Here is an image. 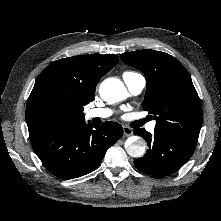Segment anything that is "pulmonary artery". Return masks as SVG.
<instances>
[{"mask_svg":"<svg viewBox=\"0 0 221 221\" xmlns=\"http://www.w3.org/2000/svg\"><path fill=\"white\" fill-rule=\"evenodd\" d=\"M123 80L129 92L134 96L139 95L143 91L145 84H146L145 78L141 74H137V73L124 74ZM111 115H112V110L107 109V108H94V109L88 110L86 113V117L88 119H93V118L104 119V118L110 117ZM155 126H156V123L151 122L147 126V129L150 132H153L155 129Z\"/></svg>","mask_w":221,"mask_h":221,"instance_id":"pulmonary-artery-1","label":"pulmonary artery"}]
</instances>
